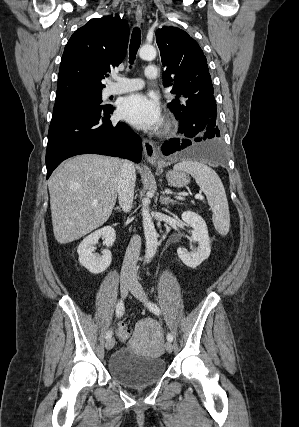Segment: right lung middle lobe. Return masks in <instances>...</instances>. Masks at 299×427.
<instances>
[{
    "mask_svg": "<svg viewBox=\"0 0 299 427\" xmlns=\"http://www.w3.org/2000/svg\"><path fill=\"white\" fill-rule=\"evenodd\" d=\"M101 102H102L101 92L94 93V94L85 95V96H81V97H77V98H72L69 100L61 101V102H56V104L54 105L53 112L60 111L62 109L69 108V107L76 106V105H80V104H86V103L98 104L100 106ZM100 107L106 108V107H112V106H104V107L100 106Z\"/></svg>",
    "mask_w": 299,
    "mask_h": 427,
    "instance_id": "dd1d6c3e",
    "label": "right lung middle lobe"
}]
</instances>
